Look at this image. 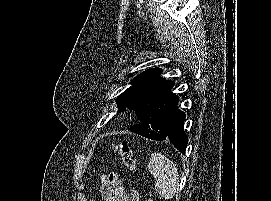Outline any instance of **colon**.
I'll list each match as a JSON object with an SVG mask.
<instances>
[{
	"label": "colon",
	"instance_id": "1",
	"mask_svg": "<svg viewBox=\"0 0 271 201\" xmlns=\"http://www.w3.org/2000/svg\"><path fill=\"white\" fill-rule=\"evenodd\" d=\"M114 151L118 154L126 169L134 174L137 170L136 159L130 144L127 142L116 143L114 145ZM130 199L131 201H137L135 194H133Z\"/></svg>",
	"mask_w": 271,
	"mask_h": 201
}]
</instances>
